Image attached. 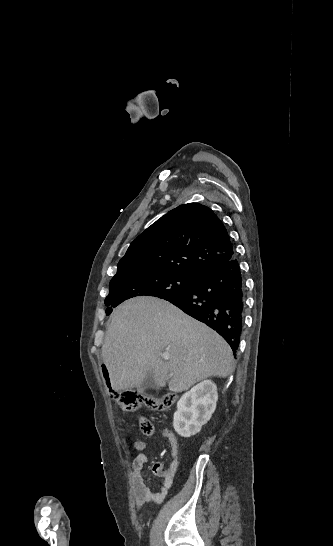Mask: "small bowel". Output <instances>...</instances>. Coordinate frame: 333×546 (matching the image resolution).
<instances>
[{
	"label": "small bowel",
	"instance_id": "obj_1",
	"mask_svg": "<svg viewBox=\"0 0 333 546\" xmlns=\"http://www.w3.org/2000/svg\"><path fill=\"white\" fill-rule=\"evenodd\" d=\"M162 435L168 439L171 450H172V457L171 462L167 468H163L160 463H156L153 467V470L156 474L160 475L164 479V483L170 484L172 482V478L175 475V473L178 470L179 462H180V455H179V448L178 443L175 435L172 431L168 429H163ZM133 446L138 451H143L146 448L145 442L142 440H135L133 443ZM149 456L145 453H140L137 455L133 461H132V470H133V493H134V501L137 509H140L142 506H144L147 503H160L162 502L166 495H167V489L165 486L160 488L158 492H152L151 489L146 485L142 470L144 466L148 463Z\"/></svg>",
	"mask_w": 333,
	"mask_h": 546
}]
</instances>
